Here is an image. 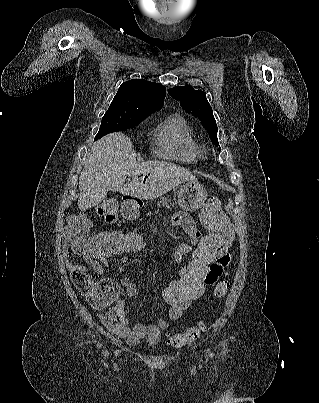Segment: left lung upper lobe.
Segmentation results:
<instances>
[{
	"mask_svg": "<svg viewBox=\"0 0 319 403\" xmlns=\"http://www.w3.org/2000/svg\"><path fill=\"white\" fill-rule=\"evenodd\" d=\"M168 93L180 101L181 107L193 116L198 117L210 134L212 143L219 145L217 139V124L213 116L212 107L205 97V92L194 90L191 86H177L168 90ZM220 150V148H219Z\"/></svg>",
	"mask_w": 319,
	"mask_h": 403,
	"instance_id": "1",
	"label": "left lung upper lobe"
}]
</instances>
